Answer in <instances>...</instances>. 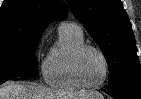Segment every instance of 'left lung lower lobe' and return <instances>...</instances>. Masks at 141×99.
<instances>
[{
  "instance_id": "1",
  "label": "left lung lower lobe",
  "mask_w": 141,
  "mask_h": 99,
  "mask_svg": "<svg viewBox=\"0 0 141 99\" xmlns=\"http://www.w3.org/2000/svg\"><path fill=\"white\" fill-rule=\"evenodd\" d=\"M108 92L115 99H141V89H115Z\"/></svg>"
}]
</instances>
